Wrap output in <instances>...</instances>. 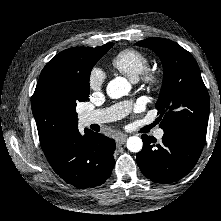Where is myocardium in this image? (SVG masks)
<instances>
[{"label":"myocardium","mask_w":221,"mask_h":221,"mask_svg":"<svg viewBox=\"0 0 221 221\" xmlns=\"http://www.w3.org/2000/svg\"><path fill=\"white\" fill-rule=\"evenodd\" d=\"M142 79L146 85L152 86V85H155L156 83H158L159 76L154 71H152L150 69H146L142 74Z\"/></svg>","instance_id":"1"}]
</instances>
